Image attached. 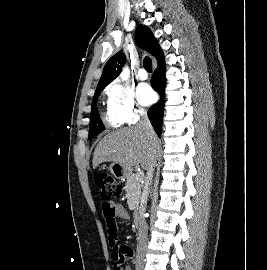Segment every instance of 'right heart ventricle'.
I'll use <instances>...</instances> for the list:
<instances>
[{"label":"right heart ventricle","mask_w":267,"mask_h":270,"mask_svg":"<svg viewBox=\"0 0 267 270\" xmlns=\"http://www.w3.org/2000/svg\"><path fill=\"white\" fill-rule=\"evenodd\" d=\"M104 121L109 125L110 127H119L122 123H120L118 120H116L108 111L104 115Z\"/></svg>","instance_id":"e07e8e85"}]
</instances>
